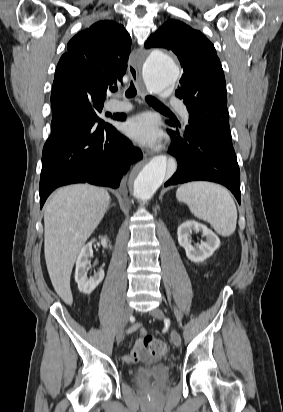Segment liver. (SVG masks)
Listing matches in <instances>:
<instances>
[{"label":"liver","instance_id":"1","mask_svg":"<svg viewBox=\"0 0 283 412\" xmlns=\"http://www.w3.org/2000/svg\"><path fill=\"white\" fill-rule=\"evenodd\" d=\"M110 203L108 192L88 184L58 189L44 208V254L56 293L72 304L70 276L82 246L97 228Z\"/></svg>","mask_w":283,"mask_h":412}]
</instances>
